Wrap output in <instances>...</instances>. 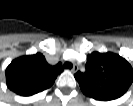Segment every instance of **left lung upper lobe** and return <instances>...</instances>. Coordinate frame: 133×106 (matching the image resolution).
Segmentation results:
<instances>
[{
    "label": "left lung upper lobe",
    "mask_w": 133,
    "mask_h": 106,
    "mask_svg": "<svg viewBox=\"0 0 133 106\" xmlns=\"http://www.w3.org/2000/svg\"><path fill=\"white\" fill-rule=\"evenodd\" d=\"M84 73L74 77L82 92L95 100L110 101L121 97L133 82V69L121 56L93 52L87 56Z\"/></svg>",
    "instance_id": "1"
}]
</instances>
